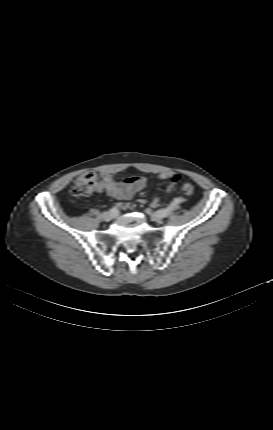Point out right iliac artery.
<instances>
[{"mask_svg": "<svg viewBox=\"0 0 273 430\" xmlns=\"http://www.w3.org/2000/svg\"><path fill=\"white\" fill-rule=\"evenodd\" d=\"M111 210H112L115 214H117V213H118V209H117L116 207H113Z\"/></svg>", "mask_w": 273, "mask_h": 430, "instance_id": "right-iliac-artery-1", "label": "right iliac artery"}]
</instances>
